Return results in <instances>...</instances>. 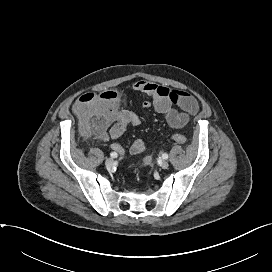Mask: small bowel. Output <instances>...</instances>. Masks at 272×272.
<instances>
[{"instance_id":"obj_1","label":"small bowel","mask_w":272,"mask_h":272,"mask_svg":"<svg viewBox=\"0 0 272 272\" xmlns=\"http://www.w3.org/2000/svg\"><path fill=\"white\" fill-rule=\"evenodd\" d=\"M133 89L139 93L148 95L150 102L143 104L144 108L153 107L154 110L163 115L170 127L174 129L184 128L190 118L199 110L197 100L189 93L177 89H170L165 86L139 80L134 83ZM119 119L110 126L107 133L101 134V139H118L128 126L140 124L139 117L132 111L124 110L120 112ZM111 148L124 155V148L118 143H112ZM144 150V143L141 139H136L130 145L131 154H139Z\"/></svg>"}]
</instances>
